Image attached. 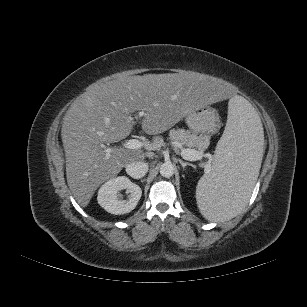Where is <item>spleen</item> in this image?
Segmentation results:
<instances>
[{
	"label": "spleen",
	"mask_w": 307,
	"mask_h": 307,
	"mask_svg": "<svg viewBox=\"0 0 307 307\" xmlns=\"http://www.w3.org/2000/svg\"><path fill=\"white\" fill-rule=\"evenodd\" d=\"M265 152L266 142L257 112L244 98H232L211 172L201 177L196 187L197 205L207 220H229L246 206Z\"/></svg>",
	"instance_id": "1"
}]
</instances>
